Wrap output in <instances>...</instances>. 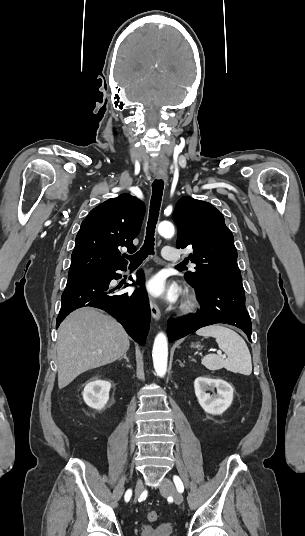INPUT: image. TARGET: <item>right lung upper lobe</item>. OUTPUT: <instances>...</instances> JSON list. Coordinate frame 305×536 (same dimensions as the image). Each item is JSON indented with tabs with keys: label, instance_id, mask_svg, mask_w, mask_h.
Wrapping results in <instances>:
<instances>
[{
	"label": "right lung upper lobe",
	"instance_id": "1",
	"mask_svg": "<svg viewBox=\"0 0 305 536\" xmlns=\"http://www.w3.org/2000/svg\"><path fill=\"white\" fill-rule=\"evenodd\" d=\"M145 205L130 194L111 198L90 211L76 236L68 278L84 277L124 268L127 261L119 248L135 251Z\"/></svg>",
	"mask_w": 305,
	"mask_h": 536
}]
</instances>
